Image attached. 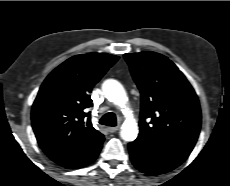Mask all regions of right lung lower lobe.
<instances>
[{
  "label": "right lung lower lobe",
  "mask_w": 230,
  "mask_h": 186,
  "mask_svg": "<svg viewBox=\"0 0 230 186\" xmlns=\"http://www.w3.org/2000/svg\"><path fill=\"white\" fill-rule=\"evenodd\" d=\"M100 150H101V147H100L90 158H88L83 164H81V165H80L79 167H77V168L86 166V165H88L89 163L93 162V161L96 159V157L98 156Z\"/></svg>",
  "instance_id": "98d812e1"
}]
</instances>
